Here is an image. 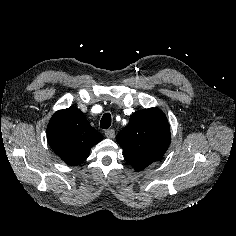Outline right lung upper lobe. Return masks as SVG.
Listing matches in <instances>:
<instances>
[{"mask_svg": "<svg viewBox=\"0 0 236 236\" xmlns=\"http://www.w3.org/2000/svg\"><path fill=\"white\" fill-rule=\"evenodd\" d=\"M103 136L86 120L76 107L56 112L47 126V139L52 150L68 165L83 162L91 147Z\"/></svg>", "mask_w": 236, "mask_h": 236, "instance_id": "1", "label": "right lung upper lobe"}]
</instances>
